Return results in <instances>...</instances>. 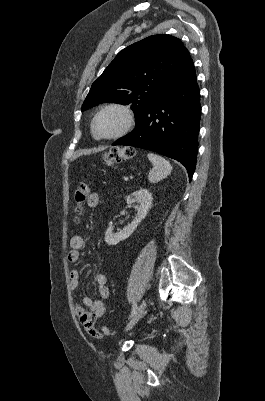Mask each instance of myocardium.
<instances>
[{"label":"myocardium","instance_id":"1","mask_svg":"<svg viewBox=\"0 0 265 401\" xmlns=\"http://www.w3.org/2000/svg\"><path fill=\"white\" fill-rule=\"evenodd\" d=\"M111 110L119 111L122 114V116H123L122 125L119 128V130L116 133H114L113 135L104 136V137L98 136L95 133V123H96L97 119L103 113H105L107 111H111ZM133 119H134V114L129 106L121 104V103H110V104L103 106L93 116L91 123H90V133L94 139L99 140V141L113 140V139H116V138L120 137L121 135H123L130 128V126L133 123Z\"/></svg>","mask_w":265,"mask_h":401}]
</instances>
